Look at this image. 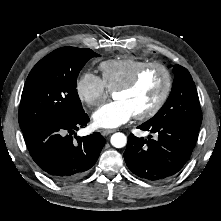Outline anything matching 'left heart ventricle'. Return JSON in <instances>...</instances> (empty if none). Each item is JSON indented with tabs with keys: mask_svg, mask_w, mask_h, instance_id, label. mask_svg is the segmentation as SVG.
<instances>
[{
	"mask_svg": "<svg viewBox=\"0 0 221 221\" xmlns=\"http://www.w3.org/2000/svg\"><path fill=\"white\" fill-rule=\"evenodd\" d=\"M164 87V75L158 68H150L138 83L127 91L114 93V98L125 101L134 114L148 110L159 98Z\"/></svg>",
	"mask_w": 221,
	"mask_h": 221,
	"instance_id": "b2bd125f",
	"label": "left heart ventricle"
}]
</instances>
